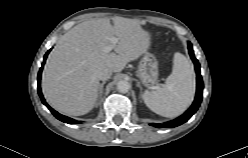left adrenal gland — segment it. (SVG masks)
Returning a JSON list of instances; mask_svg holds the SVG:
<instances>
[{
	"label": "left adrenal gland",
	"instance_id": "obj_1",
	"mask_svg": "<svg viewBox=\"0 0 248 158\" xmlns=\"http://www.w3.org/2000/svg\"><path fill=\"white\" fill-rule=\"evenodd\" d=\"M137 86L140 88V90L142 91V87H141V85H140V83L138 82L137 83Z\"/></svg>",
	"mask_w": 248,
	"mask_h": 158
}]
</instances>
